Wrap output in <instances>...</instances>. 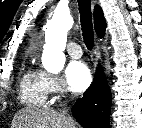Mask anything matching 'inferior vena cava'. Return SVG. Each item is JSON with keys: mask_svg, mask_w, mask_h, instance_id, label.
<instances>
[{"mask_svg": "<svg viewBox=\"0 0 142 128\" xmlns=\"http://www.w3.org/2000/svg\"><path fill=\"white\" fill-rule=\"evenodd\" d=\"M62 114H63V115H65V114H66V112H65V111H63V112H62ZM65 117H66V120H67V121H68L71 125H73V127L75 128V126H74V125H75V123H74L73 118H72L70 115H66Z\"/></svg>", "mask_w": 142, "mask_h": 128, "instance_id": "602c4592", "label": "inferior vena cava"}]
</instances>
